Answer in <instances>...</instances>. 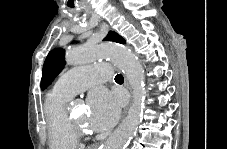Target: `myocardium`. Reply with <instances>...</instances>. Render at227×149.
<instances>
[{"label": "myocardium", "instance_id": "obj_1", "mask_svg": "<svg viewBox=\"0 0 227 149\" xmlns=\"http://www.w3.org/2000/svg\"><path fill=\"white\" fill-rule=\"evenodd\" d=\"M67 121L69 124L70 129L77 135H85L87 132L83 127V124L75 121L72 117L67 115Z\"/></svg>", "mask_w": 227, "mask_h": 149}]
</instances>
